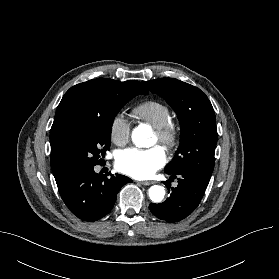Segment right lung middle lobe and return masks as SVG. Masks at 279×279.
<instances>
[{"instance_id":"dd1d6c3e","label":"right lung middle lobe","mask_w":279,"mask_h":279,"mask_svg":"<svg viewBox=\"0 0 279 279\" xmlns=\"http://www.w3.org/2000/svg\"><path fill=\"white\" fill-rule=\"evenodd\" d=\"M136 92L123 91L109 95L99 112L72 120L65 128L62 147L71 173L102 165L110 149L111 127L119 110Z\"/></svg>"}]
</instances>
